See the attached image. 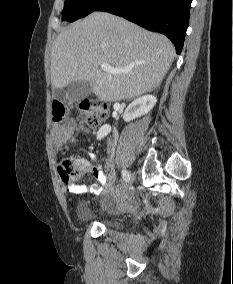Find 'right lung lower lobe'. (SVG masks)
Segmentation results:
<instances>
[{"label":"right lung lower lobe","instance_id":"1","mask_svg":"<svg viewBox=\"0 0 233 284\" xmlns=\"http://www.w3.org/2000/svg\"><path fill=\"white\" fill-rule=\"evenodd\" d=\"M192 0H107L95 11L124 17L148 30L167 36L180 54Z\"/></svg>","mask_w":233,"mask_h":284}]
</instances>
